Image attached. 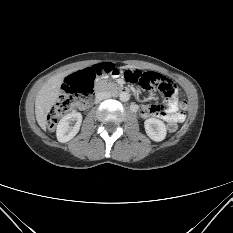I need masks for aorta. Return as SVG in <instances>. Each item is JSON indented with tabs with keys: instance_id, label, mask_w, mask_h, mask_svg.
Wrapping results in <instances>:
<instances>
[{
	"instance_id": "762f6f07",
	"label": "aorta",
	"mask_w": 233,
	"mask_h": 233,
	"mask_svg": "<svg viewBox=\"0 0 233 233\" xmlns=\"http://www.w3.org/2000/svg\"><path fill=\"white\" fill-rule=\"evenodd\" d=\"M122 102H127L130 99V94L128 92H122L119 96Z\"/></svg>"
}]
</instances>
